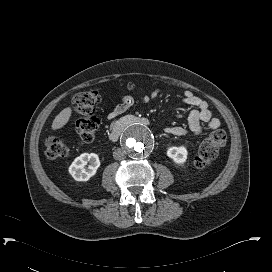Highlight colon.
I'll list each match as a JSON object with an SVG mask.
<instances>
[{
  "mask_svg": "<svg viewBox=\"0 0 272 272\" xmlns=\"http://www.w3.org/2000/svg\"><path fill=\"white\" fill-rule=\"evenodd\" d=\"M131 85L128 86L131 89ZM74 112L77 116L75 132L79 137V144L92 141L99 126L97 106L101 102V94L98 90L83 91L74 97ZM226 133L223 130L212 132L200 145L195 160L197 168H205L215 159L218 152L225 146ZM46 155L49 158L65 157L69 154V147L65 139L56 134H51L45 139Z\"/></svg>",
  "mask_w": 272,
  "mask_h": 272,
  "instance_id": "5ec220e1",
  "label": "colon"
}]
</instances>
